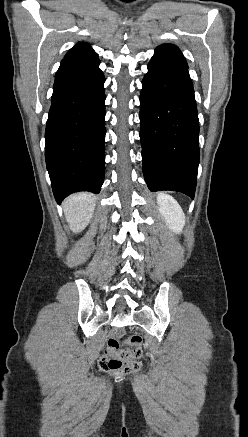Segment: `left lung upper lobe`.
Instances as JSON below:
<instances>
[{
	"instance_id": "left-lung-upper-lobe-1",
	"label": "left lung upper lobe",
	"mask_w": 248,
	"mask_h": 437,
	"mask_svg": "<svg viewBox=\"0 0 248 437\" xmlns=\"http://www.w3.org/2000/svg\"><path fill=\"white\" fill-rule=\"evenodd\" d=\"M152 60L181 65L188 68L185 57L179 48L173 44H163L155 49Z\"/></svg>"
}]
</instances>
